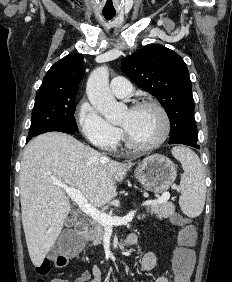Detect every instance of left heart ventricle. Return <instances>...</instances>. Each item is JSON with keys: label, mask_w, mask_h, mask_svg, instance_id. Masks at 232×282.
<instances>
[{"label": "left heart ventricle", "mask_w": 232, "mask_h": 282, "mask_svg": "<svg viewBox=\"0 0 232 282\" xmlns=\"http://www.w3.org/2000/svg\"><path fill=\"white\" fill-rule=\"evenodd\" d=\"M130 138L139 144H148L157 140L163 131V119L159 112L151 107L127 110L120 121Z\"/></svg>", "instance_id": "left-heart-ventricle-1"}]
</instances>
